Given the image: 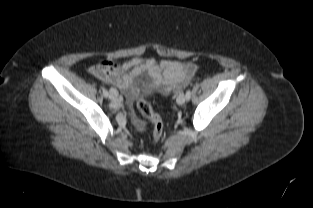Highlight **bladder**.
<instances>
[{"label": "bladder", "mask_w": 313, "mask_h": 208, "mask_svg": "<svg viewBox=\"0 0 313 208\" xmlns=\"http://www.w3.org/2000/svg\"><path fill=\"white\" fill-rule=\"evenodd\" d=\"M154 91H155V88L153 86L146 85V87H144L141 93L143 96H146V95L152 94Z\"/></svg>", "instance_id": "obj_1"}]
</instances>
